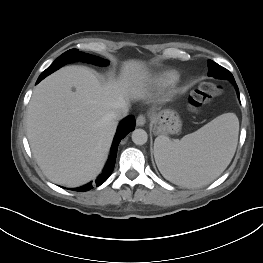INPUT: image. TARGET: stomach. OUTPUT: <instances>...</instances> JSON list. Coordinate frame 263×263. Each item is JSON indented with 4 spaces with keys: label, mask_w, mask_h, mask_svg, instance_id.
Returning a JSON list of instances; mask_svg holds the SVG:
<instances>
[{
    "label": "stomach",
    "mask_w": 263,
    "mask_h": 263,
    "mask_svg": "<svg viewBox=\"0 0 263 263\" xmlns=\"http://www.w3.org/2000/svg\"><path fill=\"white\" fill-rule=\"evenodd\" d=\"M153 131L155 134H173L181 129V120L177 112L162 110L152 116Z\"/></svg>",
    "instance_id": "stomach-1"
}]
</instances>
